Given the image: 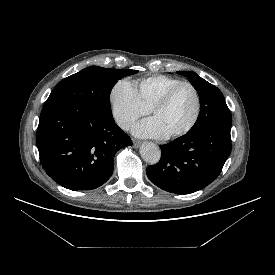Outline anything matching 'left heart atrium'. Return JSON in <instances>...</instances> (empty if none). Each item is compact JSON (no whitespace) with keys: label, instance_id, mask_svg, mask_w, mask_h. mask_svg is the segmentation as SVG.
Wrapping results in <instances>:
<instances>
[{"label":"left heart atrium","instance_id":"obj_1","mask_svg":"<svg viewBox=\"0 0 275 275\" xmlns=\"http://www.w3.org/2000/svg\"><path fill=\"white\" fill-rule=\"evenodd\" d=\"M133 133L143 138H164L167 136L158 121L151 117L136 124Z\"/></svg>","mask_w":275,"mask_h":275}]
</instances>
